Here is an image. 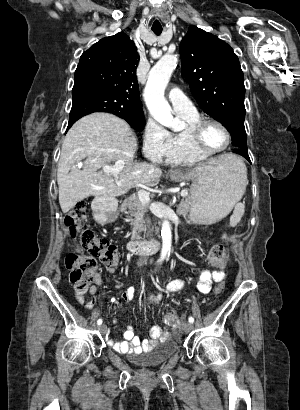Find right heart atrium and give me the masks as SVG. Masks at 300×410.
Returning a JSON list of instances; mask_svg holds the SVG:
<instances>
[{
  "label": "right heart atrium",
  "instance_id": "1",
  "mask_svg": "<svg viewBox=\"0 0 300 410\" xmlns=\"http://www.w3.org/2000/svg\"><path fill=\"white\" fill-rule=\"evenodd\" d=\"M168 143V131L155 119L148 117L143 128V152L155 161L165 155Z\"/></svg>",
  "mask_w": 300,
  "mask_h": 410
}]
</instances>
